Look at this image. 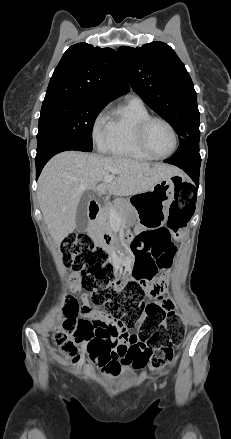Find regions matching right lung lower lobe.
Wrapping results in <instances>:
<instances>
[{
	"label": "right lung lower lobe",
	"instance_id": "1",
	"mask_svg": "<svg viewBox=\"0 0 231 439\" xmlns=\"http://www.w3.org/2000/svg\"><path fill=\"white\" fill-rule=\"evenodd\" d=\"M68 150H78V151H84V152H90L85 150L84 148L78 146L75 143H69V142H59L52 146L46 153L37 156L35 158L36 162V178L39 177L44 165L49 161L50 158H52L57 153L68 151Z\"/></svg>",
	"mask_w": 231,
	"mask_h": 439
}]
</instances>
